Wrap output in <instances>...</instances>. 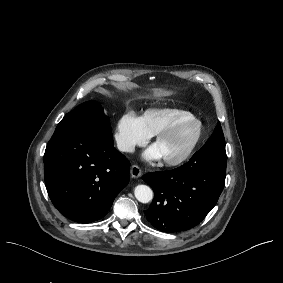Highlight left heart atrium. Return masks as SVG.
Segmentation results:
<instances>
[{
  "label": "left heart atrium",
  "mask_w": 283,
  "mask_h": 283,
  "mask_svg": "<svg viewBox=\"0 0 283 283\" xmlns=\"http://www.w3.org/2000/svg\"><path fill=\"white\" fill-rule=\"evenodd\" d=\"M145 162H157L164 159L163 153L158 143H153L148 146L141 155Z\"/></svg>",
  "instance_id": "1"
}]
</instances>
